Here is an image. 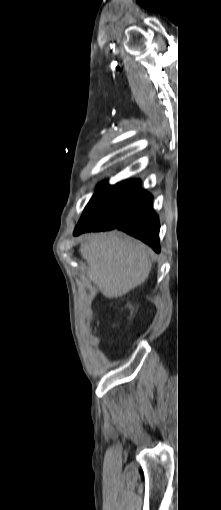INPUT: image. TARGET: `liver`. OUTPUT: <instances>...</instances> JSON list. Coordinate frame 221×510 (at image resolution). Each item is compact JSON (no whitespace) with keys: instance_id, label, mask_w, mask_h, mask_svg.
<instances>
[{"instance_id":"liver-1","label":"liver","mask_w":221,"mask_h":510,"mask_svg":"<svg viewBox=\"0 0 221 510\" xmlns=\"http://www.w3.org/2000/svg\"><path fill=\"white\" fill-rule=\"evenodd\" d=\"M85 239L79 252L87 263L86 275L105 297H121L147 279L152 251L145 244L119 232Z\"/></svg>"}]
</instances>
